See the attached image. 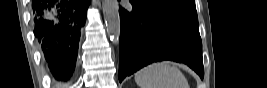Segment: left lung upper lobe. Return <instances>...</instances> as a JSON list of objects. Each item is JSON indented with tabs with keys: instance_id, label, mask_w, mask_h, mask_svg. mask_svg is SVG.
I'll list each match as a JSON object with an SVG mask.
<instances>
[{
	"instance_id": "1",
	"label": "left lung upper lobe",
	"mask_w": 267,
	"mask_h": 88,
	"mask_svg": "<svg viewBox=\"0 0 267 88\" xmlns=\"http://www.w3.org/2000/svg\"><path fill=\"white\" fill-rule=\"evenodd\" d=\"M144 12L182 16L198 21L195 0H130Z\"/></svg>"
}]
</instances>
